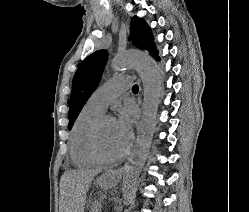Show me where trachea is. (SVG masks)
Listing matches in <instances>:
<instances>
[{
    "label": "trachea",
    "mask_w": 249,
    "mask_h": 212,
    "mask_svg": "<svg viewBox=\"0 0 249 212\" xmlns=\"http://www.w3.org/2000/svg\"><path fill=\"white\" fill-rule=\"evenodd\" d=\"M132 90H139L138 85H133Z\"/></svg>",
    "instance_id": "obj_1"
}]
</instances>
